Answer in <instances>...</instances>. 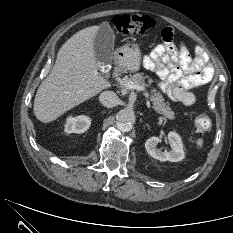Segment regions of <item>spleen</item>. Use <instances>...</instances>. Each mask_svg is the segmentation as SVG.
Wrapping results in <instances>:
<instances>
[{
	"instance_id": "1",
	"label": "spleen",
	"mask_w": 233,
	"mask_h": 233,
	"mask_svg": "<svg viewBox=\"0 0 233 233\" xmlns=\"http://www.w3.org/2000/svg\"><path fill=\"white\" fill-rule=\"evenodd\" d=\"M203 145H204V141L202 138H199L196 140V147L197 149L201 150L203 148Z\"/></svg>"
}]
</instances>
